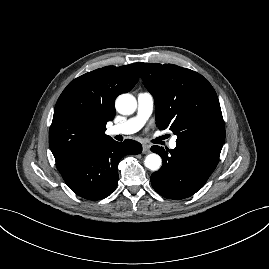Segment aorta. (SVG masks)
<instances>
[{
  "label": "aorta",
  "instance_id": "obj_1",
  "mask_svg": "<svg viewBox=\"0 0 269 269\" xmlns=\"http://www.w3.org/2000/svg\"><path fill=\"white\" fill-rule=\"evenodd\" d=\"M116 110L123 115L133 114L137 108V101L131 94H122L115 101ZM144 165L146 168L157 171L161 168L162 159L156 153L148 154L145 157Z\"/></svg>",
  "mask_w": 269,
  "mask_h": 269
}]
</instances>
